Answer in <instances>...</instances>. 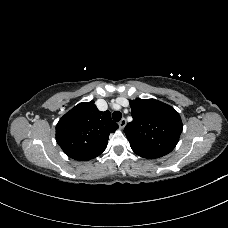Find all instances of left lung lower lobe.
I'll use <instances>...</instances> for the list:
<instances>
[{
	"label": "left lung lower lobe",
	"instance_id": "1",
	"mask_svg": "<svg viewBox=\"0 0 228 228\" xmlns=\"http://www.w3.org/2000/svg\"><path fill=\"white\" fill-rule=\"evenodd\" d=\"M137 155L147 158V159H155V158H159L162 157L160 155H156V154H146V153H136Z\"/></svg>",
	"mask_w": 228,
	"mask_h": 228
}]
</instances>
